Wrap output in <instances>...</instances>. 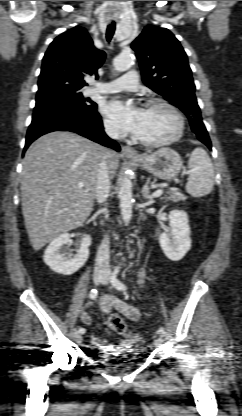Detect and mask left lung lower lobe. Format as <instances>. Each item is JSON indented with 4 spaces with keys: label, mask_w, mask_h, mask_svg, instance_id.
I'll use <instances>...</instances> for the list:
<instances>
[{
    "label": "left lung lower lobe",
    "mask_w": 242,
    "mask_h": 416,
    "mask_svg": "<svg viewBox=\"0 0 242 416\" xmlns=\"http://www.w3.org/2000/svg\"><path fill=\"white\" fill-rule=\"evenodd\" d=\"M209 149H211V142L209 138H204L201 140Z\"/></svg>",
    "instance_id": "0a47b994"
}]
</instances>
